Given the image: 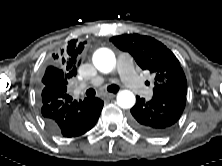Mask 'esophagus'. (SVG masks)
I'll list each match as a JSON object with an SVG mask.
<instances>
[{
    "mask_svg": "<svg viewBox=\"0 0 222 166\" xmlns=\"http://www.w3.org/2000/svg\"><path fill=\"white\" fill-rule=\"evenodd\" d=\"M115 96H116L115 93H108V94L105 95V97L108 98V99H112V98H114Z\"/></svg>",
    "mask_w": 222,
    "mask_h": 166,
    "instance_id": "1",
    "label": "esophagus"
}]
</instances>
